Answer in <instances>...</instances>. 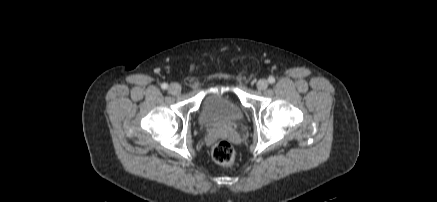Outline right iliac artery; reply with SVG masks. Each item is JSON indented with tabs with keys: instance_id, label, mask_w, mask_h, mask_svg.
<instances>
[{
	"instance_id": "obj_1",
	"label": "right iliac artery",
	"mask_w": 437,
	"mask_h": 202,
	"mask_svg": "<svg viewBox=\"0 0 437 202\" xmlns=\"http://www.w3.org/2000/svg\"><path fill=\"white\" fill-rule=\"evenodd\" d=\"M161 88L164 89V90L167 89V88H168V84H167V83H163V84L161 85Z\"/></svg>"
}]
</instances>
